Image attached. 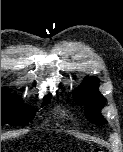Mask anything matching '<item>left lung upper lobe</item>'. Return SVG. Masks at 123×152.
Instances as JSON below:
<instances>
[{
  "label": "left lung upper lobe",
  "mask_w": 123,
  "mask_h": 152,
  "mask_svg": "<svg viewBox=\"0 0 123 152\" xmlns=\"http://www.w3.org/2000/svg\"><path fill=\"white\" fill-rule=\"evenodd\" d=\"M98 79L89 77L84 80L82 87L74 94L75 101L85 105V113L89 121L102 125L106 120L101 116L99 110L105 104L106 99L97 90Z\"/></svg>",
  "instance_id": "5c2ea615"
}]
</instances>
